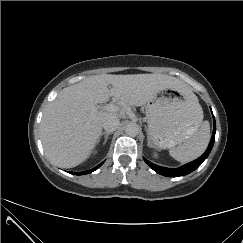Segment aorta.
<instances>
[{
  "mask_svg": "<svg viewBox=\"0 0 243 243\" xmlns=\"http://www.w3.org/2000/svg\"><path fill=\"white\" fill-rule=\"evenodd\" d=\"M125 133L129 136H136L139 133V126L131 122L126 126Z\"/></svg>",
  "mask_w": 243,
  "mask_h": 243,
  "instance_id": "762f6f07",
  "label": "aorta"
}]
</instances>
